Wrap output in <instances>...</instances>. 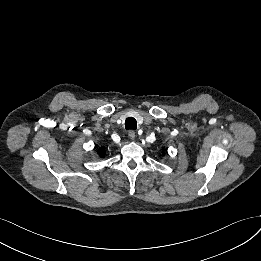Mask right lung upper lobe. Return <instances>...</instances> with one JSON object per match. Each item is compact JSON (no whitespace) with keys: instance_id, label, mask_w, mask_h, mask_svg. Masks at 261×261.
Segmentation results:
<instances>
[{"instance_id":"right-lung-upper-lobe-1","label":"right lung upper lobe","mask_w":261,"mask_h":261,"mask_svg":"<svg viewBox=\"0 0 261 261\" xmlns=\"http://www.w3.org/2000/svg\"><path fill=\"white\" fill-rule=\"evenodd\" d=\"M103 152H104V150H103V149H101V150H100V153H101L102 155H103Z\"/></svg>"}]
</instances>
